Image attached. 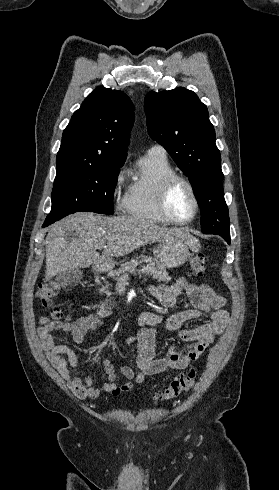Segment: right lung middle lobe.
<instances>
[{"label": "right lung middle lobe", "instance_id": "1", "mask_svg": "<svg viewBox=\"0 0 279 490\" xmlns=\"http://www.w3.org/2000/svg\"><path fill=\"white\" fill-rule=\"evenodd\" d=\"M123 164L57 166L52 208L44 223L77 211L113 214V195Z\"/></svg>", "mask_w": 279, "mask_h": 490}]
</instances>
